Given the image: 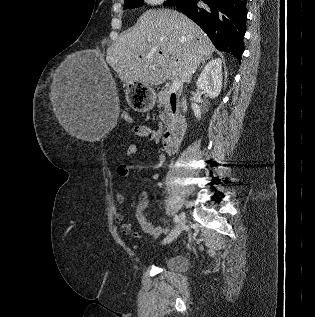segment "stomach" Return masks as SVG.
I'll use <instances>...</instances> for the list:
<instances>
[{"label": "stomach", "mask_w": 315, "mask_h": 317, "mask_svg": "<svg viewBox=\"0 0 315 317\" xmlns=\"http://www.w3.org/2000/svg\"><path fill=\"white\" fill-rule=\"evenodd\" d=\"M127 98H130V108H139L140 114H151V108L157 104L150 84H127Z\"/></svg>", "instance_id": "stomach-1"}]
</instances>
